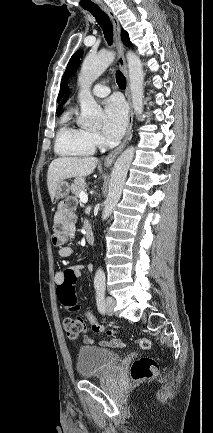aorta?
I'll list each match as a JSON object with an SVG mask.
<instances>
[{
    "label": "aorta",
    "mask_w": 213,
    "mask_h": 433,
    "mask_svg": "<svg viewBox=\"0 0 213 433\" xmlns=\"http://www.w3.org/2000/svg\"><path fill=\"white\" fill-rule=\"evenodd\" d=\"M114 57L115 54L112 51H101L96 55H88L83 61L78 78L81 86L79 93L81 117L79 123L82 126L93 127L99 124L101 108L91 95L90 86L109 67ZM126 58L128 62L132 104L135 114L140 116L143 112L144 97V71L142 62L133 52H128ZM134 153L135 148L133 146L128 147L114 164L108 195L102 212V220H106L112 214L121 197L128 169L134 158ZM94 287H105V273L102 269H98L95 273Z\"/></svg>",
    "instance_id": "obj_1"
}]
</instances>
